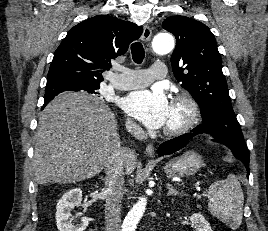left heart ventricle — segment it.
Segmentation results:
<instances>
[{"label":"left heart ventricle","mask_w":268,"mask_h":231,"mask_svg":"<svg viewBox=\"0 0 268 231\" xmlns=\"http://www.w3.org/2000/svg\"><path fill=\"white\" fill-rule=\"evenodd\" d=\"M186 117V110L182 105L171 104L164 127H175L181 124Z\"/></svg>","instance_id":"1"}]
</instances>
